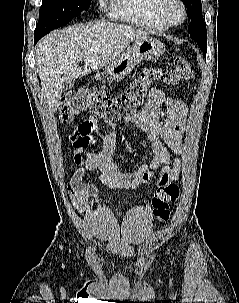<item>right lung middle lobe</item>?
Wrapping results in <instances>:
<instances>
[{
  "mask_svg": "<svg viewBox=\"0 0 239 303\" xmlns=\"http://www.w3.org/2000/svg\"><path fill=\"white\" fill-rule=\"evenodd\" d=\"M91 0H43L35 32L48 33L64 26L82 11L88 10Z\"/></svg>",
  "mask_w": 239,
  "mask_h": 303,
  "instance_id": "obj_1",
  "label": "right lung middle lobe"
}]
</instances>
